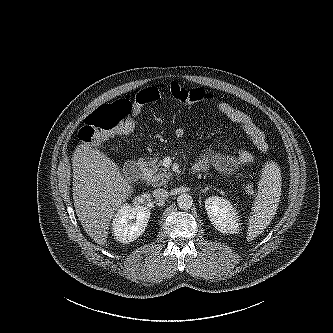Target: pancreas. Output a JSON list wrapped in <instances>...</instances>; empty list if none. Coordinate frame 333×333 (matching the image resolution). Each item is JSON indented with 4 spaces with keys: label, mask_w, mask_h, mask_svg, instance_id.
Segmentation results:
<instances>
[{
    "label": "pancreas",
    "mask_w": 333,
    "mask_h": 333,
    "mask_svg": "<svg viewBox=\"0 0 333 333\" xmlns=\"http://www.w3.org/2000/svg\"><path fill=\"white\" fill-rule=\"evenodd\" d=\"M146 178L152 186H162L170 181L172 173L167 168H162V161L157 157H153L148 162Z\"/></svg>",
    "instance_id": "1"
}]
</instances>
